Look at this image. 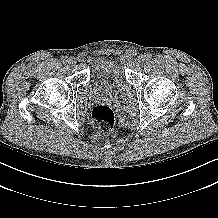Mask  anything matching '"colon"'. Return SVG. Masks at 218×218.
<instances>
[{"label":"colon","mask_w":218,"mask_h":218,"mask_svg":"<svg viewBox=\"0 0 218 218\" xmlns=\"http://www.w3.org/2000/svg\"><path fill=\"white\" fill-rule=\"evenodd\" d=\"M91 118L97 129L103 134H109L114 126L115 115L106 105H98L91 112Z\"/></svg>","instance_id":"colon-1"}]
</instances>
